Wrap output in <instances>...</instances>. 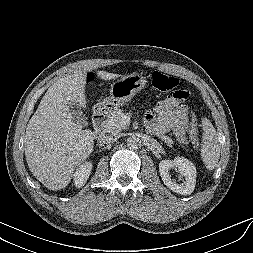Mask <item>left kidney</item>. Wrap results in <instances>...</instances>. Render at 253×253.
<instances>
[{
  "mask_svg": "<svg viewBox=\"0 0 253 253\" xmlns=\"http://www.w3.org/2000/svg\"><path fill=\"white\" fill-rule=\"evenodd\" d=\"M171 168H177L184 177L183 183L179 184L171 179ZM159 172L163 183L173 192L181 195H190L196 184V168L194 164L184 157H176L174 160H162L159 163Z\"/></svg>",
  "mask_w": 253,
  "mask_h": 253,
  "instance_id": "left-kidney-1",
  "label": "left kidney"
}]
</instances>
